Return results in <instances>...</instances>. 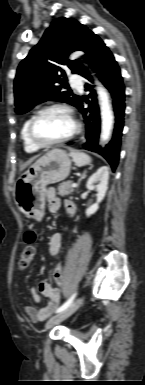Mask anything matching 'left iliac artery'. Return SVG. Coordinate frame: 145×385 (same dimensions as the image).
Instances as JSON below:
<instances>
[{
    "label": "left iliac artery",
    "instance_id": "1",
    "mask_svg": "<svg viewBox=\"0 0 145 385\" xmlns=\"http://www.w3.org/2000/svg\"><path fill=\"white\" fill-rule=\"evenodd\" d=\"M76 296V293H74L63 305H61L57 310L56 313L62 312L66 308H68L74 301V298Z\"/></svg>",
    "mask_w": 145,
    "mask_h": 385
}]
</instances>
